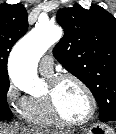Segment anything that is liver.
I'll use <instances>...</instances> for the list:
<instances>
[{
	"label": "liver",
	"mask_w": 116,
	"mask_h": 134,
	"mask_svg": "<svg viewBox=\"0 0 116 134\" xmlns=\"http://www.w3.org/2000/svg\"><path fill=\"white\" fill-rule=\"evenodd\" d=\"M0 134H47V133L34 131L33 129L26 127L6 126L0 123Z\"/></svg>",
	"instance_id": "6515ba94"
}]
</instances>
